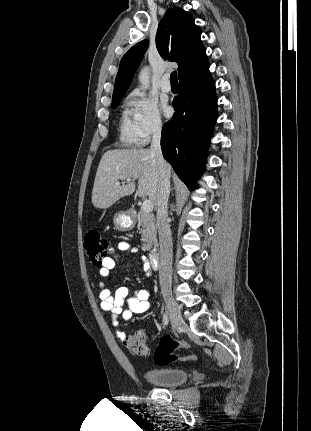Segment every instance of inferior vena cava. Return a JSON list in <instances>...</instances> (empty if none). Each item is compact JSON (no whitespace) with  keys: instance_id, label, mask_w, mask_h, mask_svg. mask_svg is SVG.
<instances>
[{"instance_id":"inferior-vena-cava-1","label":"inferior vena cava","mask_w":311,"mask_h":431,"mask_svg":"<svg viewBox=\"0 0 311 431\" xmlns=\"http://www.w3.org/2000/svg\"><path fill=\"white\" fill-rule=\"evenodd\" d=\"M162 124L157 122L154 126L152 142L150 146L159 172L158 194H157V227L160 243V293L169 295L171 293V271H172V235L168 225V198L170 194V182L165 170V160L161 150Z\"/></svg>"}]
</instances>
